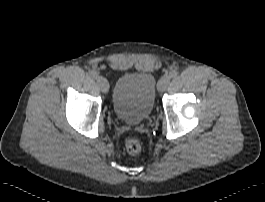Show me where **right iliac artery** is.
<instances>
[{"label": "right iliac artery", "instance_id": "right-iliac-artery-1", "mask_svg": "<svg viewBox=\"0 0 265 202\" xmlns=\"http://www.w3.org/2000/svg\"><path fill=\"white\" fill-rule=\"evenodd\" d=\"M89 76L93 79H97V77L99 76L97 72L91 70L89 71Z\"/></svg>", "mask_w": 265, "mask_h": 202}]
</instances>
